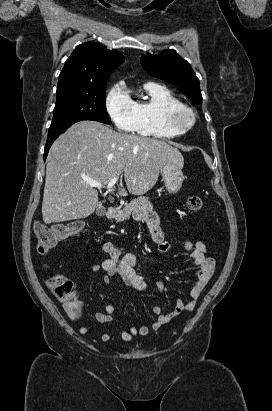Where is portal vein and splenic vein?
Masks as SVG:
<instances>
[{"mask_svg": "<svg viewBox=\"0 0 272 411\" xmlns=\"http://www.w3.org/2000/svg\"><path fill=\"white\" fill-rule=\"evenodd\" d=\"M117 181H118V177H114L108 182V184L106 186H104V185H102L98 182H93V181H88V183H89L90 186L96 187L98 189L106 188L107 192L112 193L113 186L117 183Z\"/></svg>", "mask_w": 272, "mask_h": 411, "instance_id": "portal-vein-and-splenic-vein-1", "label": "portal vein and splenic vein"}]
</instances>
